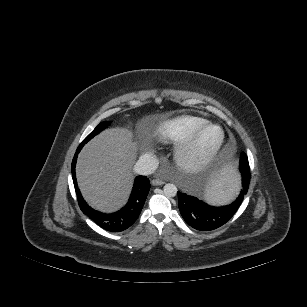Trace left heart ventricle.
<instances>
[{"instance_id":"b2bd125f","label":"left heart ventricle","mask_w":307,"mask_h":307,"mask_svg":"<svg viewBox=\"0 0 307 307\" xmlns=\"http://www.w3.org/2000/svg\"><path fill=\"white\" fill-rule=\"evenodd\" d=\"M219 137V132L216 129L207 130L198 142L197 153H204L209 150Z\"/></svg>"}]
</instances>
